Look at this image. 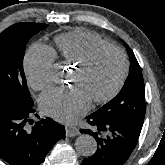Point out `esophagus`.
<instances>
[{
  "label": "esophagus",
  "mask_w": 165,
  "mask_h": 165,
  "mask_svg": "<svg viewBox=\"0 0 165 165\" xmlns=\"http://www.w3.org/2000/svg\"><path fill=\"white\" fill-rule=\"evenodd\" d=\"M65 129L67 137H74L79 135V129L74 126H66Z\"/></svg>",
  "instance_id": "obj_1"
}]
</instances>
